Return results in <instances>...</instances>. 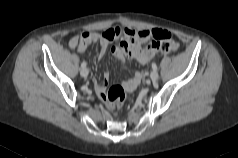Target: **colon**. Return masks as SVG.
Returning a JSON list of instances; mask_svg holds the SVG:
<instances>
[{
    "mask_svg": "<svg viewBox=\"0 0 238 158\" xmlns=\"http://www.w3.org/2000/svg\"><path fill=\"white\" fill-rule=\"evenodd\" d=\"M160 49L164 53L176 52L179 49V44L168 36L161 40ZM104 98L112 110H118L124 105L126 90L122 85L114 84L105 92Z\"/></svg>",
    "mask_w": 238,
    "mask_h": 158,
    "instance_id": "5ec220e1",
    "label": "colon"
}]
</instances>
